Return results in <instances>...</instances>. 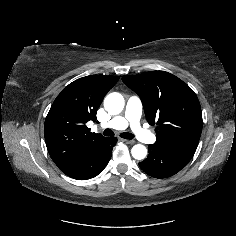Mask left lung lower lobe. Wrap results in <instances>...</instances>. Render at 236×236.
Masks as SVG:
<instances>
[{
  "label": "left lung lower lobe",
  "mask_w": 236,
  "mask_h": 236,
  "mask_svg": "<svg viewBox=\"0 0 236 236\" xmlns=\"http://www.w3.org/2000/svg\"><path fill=\"white\" fill-rule=\"evenodd\" d=\"M195 148H171L149 145L148 157L140 168L154 178H166L178 173L193 157Z\"/></svg>",
  "instance_id": "left-lung-lower-lobe-1"
}]
</instances>
